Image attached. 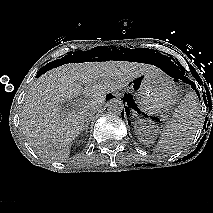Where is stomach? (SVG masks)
Returning a JSON list of instances; mask_svg holds the SVG:
<instances>
[{"mask_svg": "<svg viewBox=\"0 0 213 213\" xmlns=\"http://www.w3.org/2000/svg\"><path fill=\"white\" fill-rule=\"evenodd\" d=\"M140 109L150 116L169 111L179 101L176 85L156 73H145L134 79Z\"/></svg>", "mask_w": 213, "mask_h": 213, "instance_id": "0dacf381", "label": "stomach"}]
</instances>
